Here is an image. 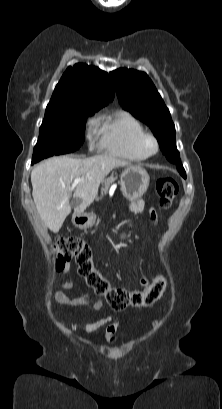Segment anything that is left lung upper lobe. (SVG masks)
Masks as SVG:
<instances>
[{"instance_id":"1","label":"left lung upper lobe","mask_w":222,"mask_h":409,"mask_svg":"<svg viewBox=\"0 0 222 409\" xmlns=\"http://www.w3.org/2000/svg\"><path fill=\"white\" fill-rule=\"evenodd\" d=\"M120 104L151 128L166 158L186 178L176 148L175 126L170 112L146 73L120 68L110 72Z\"/></svg>"}]
</instances>
